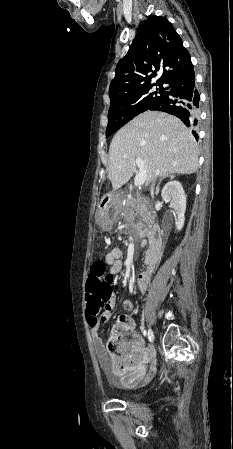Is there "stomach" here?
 <instances>
[{
	"label": "stomach",
	"instance_id": "stomach-1",
	"mask_svg": "<svg viewBox=\"0 0 233 449\" xmlns=\"http://www.w3.org/2000/svg\"><path fill=\"white\" fill-rule=\"evenodd\" d=\"M113 204L108 209L104 210L100 207L97 213V221L102 226H111L121 215V201L118 196L112 198Z\"/></svg>",
	"mask_w": 233,
	"mask_h": 449
}]
</instances>
